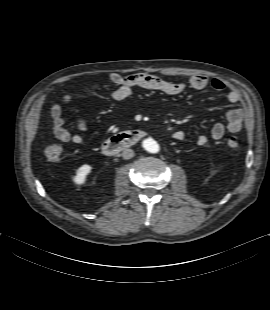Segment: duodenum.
I'll list each match as a JSON object with an SVG mask.
<instances>
[{
  "label": "duodenum",
  "instance_id": "410a0bca",
  "mask_svg": "<svg viewBox=\"0 0 270 310\" xmlns=\"http://www.w3.org/2000/svg\"><path fill=\"white\" fill-rule=\"evenodd\" d=\"M146 132L142 130H130L115 134L106 139L102 144V152L105 155H115L122 150L135 145Z\"/></svg>",
  "mask_w": 270,
  "mask_h": 310
}]
</instances>
